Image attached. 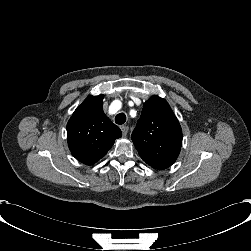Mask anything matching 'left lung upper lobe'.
I'll use <instances>...</instances> for the list:
<instances>
[{
	"mask_svg": "<svg viewBox=\"0 0 251 251\" xmlns=\"http://www.w3.org/2000/svg\"><path fill=\"white\" fill-rule=\"evenodd\" d=\"M131 139L151 167L162 170L175 162L182 145V130L165 99L154 95L144 103Z\"/></svg>",
	"mask_w": 251,
	"mask_h": 251,
	"instance_id": "1",
	"label": "left lung upper lobe"
}]
</instances>
